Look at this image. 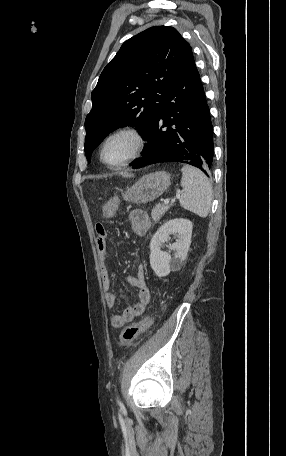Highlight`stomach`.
Listing matches in <instances>:
<instances>
[{"label": "stomach", "mask_w": 286, "mask_h": 456, "mask_svg": "<svg viewBox=\"0 0 286 456\" xmlns=\"http://www.w3.org/2000/svg\"><path fill=\"white\" fill-rule=\"evenodd\" d=\"M169 185L170 174L165 171H157L139 179L122 194V197L131 203L145 204L160 197Z\"/></svg>", "instance_id": "stomach-1"}]
</instances>
